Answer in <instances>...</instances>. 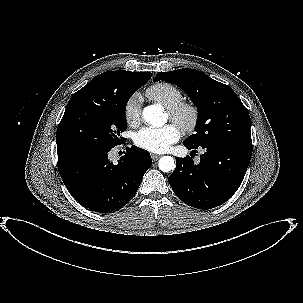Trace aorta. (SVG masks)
I'll return each instance as SVG.
<instances>
[{
  "label": "aorta",
  "instance_id": "aorta-1",
  "mask_svg": "<svg viewBox=\"0 0 303 303\" xmlns=\"http://www.w3.org/2000/svg\"><path fill=\"white\" fill-rule=\"evenodd\" d=\"M144 120L153 125L160 127L164 124V114L161 106L150 105L146 106L143 110ZM175 168L174 159L171 156H163L159 160V169L163 172H169Z\"/></svg>",
  "mask_w": 303,
  "mask_h": 303
}]
</instances>
